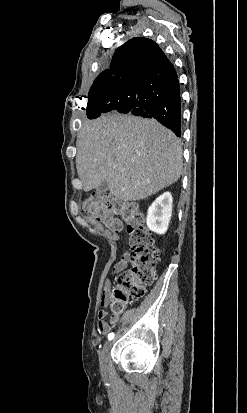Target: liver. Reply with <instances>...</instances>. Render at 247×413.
<instances>
[{
  "instance_id": "1",
  "label": "liver",
  "mask_w": 247,
  "mask_h": 413,
  "mask_svg": "<svg viewBox=\"0 0 247 413\" xmlns=\"http://www.w3.org/2000/svg\"><path fill=\"white\" fill-rule=\"evenodd\" d=\"M76 166L83 190L107 182L112 196L140 200L180 178L181 142L154 118L107 112L84 120Z\"/></svg>"
}]
</instances>
